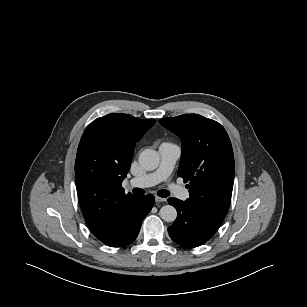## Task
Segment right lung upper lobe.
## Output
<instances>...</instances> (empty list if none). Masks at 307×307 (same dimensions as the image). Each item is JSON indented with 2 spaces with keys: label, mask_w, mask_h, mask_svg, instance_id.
Returning a JSON list of instances; mask_svg holds the SVG:
<instances>
[{
  "label": "right lung upper lobe",
  "mask_w": 307,
  "mask_h": 307,
  "mask_svg": "<svg viewBox=\"0 0 307 307\" xmlns=\"http://www.w3.org/2000/svg\"><path fill=\"white\" fill-rule=\"evenodd\" d=\"M156 120L112 113L94 120L80 140L75 181L85 220L104 244L123 237L141 204V196L125 194L122 181L135 143Z\"/></svg>",
  "instance_id": "cb5924a9"
}]
</instances>
